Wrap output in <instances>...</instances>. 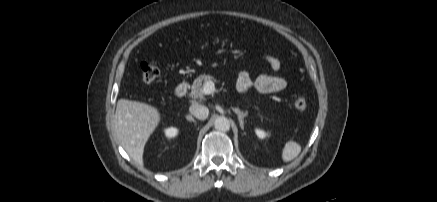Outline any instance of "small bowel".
<instances>
[{
	"label": "small bowel",
	"instance_id": "c3829d8e",
	"mask_svg": "<svg viewBox=\"0 0 437 202\" xmlns=\"http://www.w3.org/2000/svg\"><path fill=\"white\" fill-rule=\"evenodd\" d=\"M264 59L268 62L272 73H262L258 75L255 79H252L248 72H241L237 80V89L240 92H246L251 87L256 88L262 93H274L282 91L286 88V80L277 75L280 70L281 64L278 58L270 55L264 54Z\"/></svg>",
	"mask_w": 437,
	"mask_h": 202
}]
</instances>
